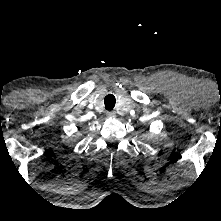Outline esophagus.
Returning <instances> with one entry per match:
<instances>
[{
    "mask_svg": "<svg viewBox=\"0 0 221 221\" xmlns=\"http://www.w3.org/2000/svg\"><path fill=\"white\" fill-rule=\"evenodd\" d=\"M106 115H107V117H109V118H113V117L116 116L115 112H113V111H108V112L106 113Z\"/></svg>",
    "mask_w": 221,
    "mask_h": 221,
    "instance_id": "34e87169",
    "label": "esophagus"
}]
</instances>
